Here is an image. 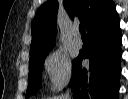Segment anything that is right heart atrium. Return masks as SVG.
I'll list each match as a JSON object with an SVG mask.
<instances>
[{"instance_id": "right-heart-atrium-1", "label": "right heart atrium", "mask_w": 128, "mask_h": 99, "mask_svg": "<svg viewBox=\"0 0 128 99\" xmlns=\"http://www.w3.org/2000/svg\"><path fill=\"white\" fill-rule=\"evenodd\" d=\"M45 70L53 89L61 90L71 79V63L68 56L61 50L52 51L44 61Z\"/></svg>"}]
</instances>
